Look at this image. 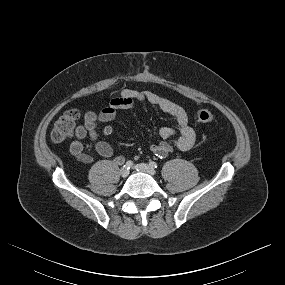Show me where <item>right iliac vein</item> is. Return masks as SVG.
I'll return each instance as SVG.
<instances>
[{
  "mask_svg": "<svg viewBox=\"0 0 285 285\" xmlns=\"http://www.w3.org/2000/svg\"><path fill=\"white\" fill-rule=\"evenodd\" d=\"M120 175L123 177V178H126L128 175H129V170L127 168H121L120 170Z\"/></svg>",
  "mask_w": 285,
  "mask_h": 285,
  "instance_id": "right-iliac-vein-1",
  "label": "right iliac vein"
}]
</instances>
